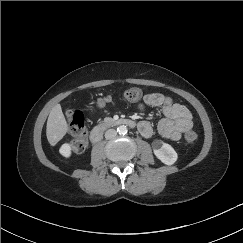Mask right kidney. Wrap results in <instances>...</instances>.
Masks as SVG:
<instances>
[{
    "mask_svg": "<svg viewBox=\"0 0 243 243\" xmlns=\"http://www.w3.org/2000/svg\"><path fill=\"white\" fill-rule=\"evenodd\" d=\"M59 152L62 156L69 158L71 156V145L68 143L63 144L59 149Z\"/></svg>",
    "mask_w": 243,
    "mask_h": 243,
    "instance_id": "right-kidney-1",
    "label": "right kidney"
}]
</instances>
